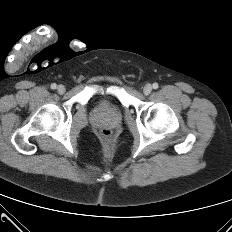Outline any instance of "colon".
<instances>
[{
	"label": "colon",
	"mask_w": 232,
	"mask_h": 232,
	"mask_svg": "<svg viewBox=\"0 0 232 232\" xmlns=\"http://www.w3.org/2000/svg\"><path fill=\"white\" fill-rule=\"evenodd\" d=\"M101 136L105 139V140H110L112 137V132L109 129H102L101 130Z\"/></svg>",
	"instance_id": "1"
}]
</instances>
